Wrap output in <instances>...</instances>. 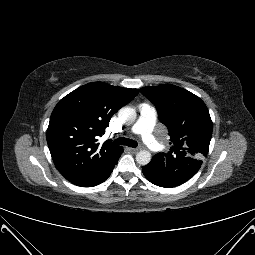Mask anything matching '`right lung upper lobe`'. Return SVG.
<instances>
[{
  "label": "right lung upper lobe",
  "mask_w": 255,
  "mask_h": 255,
  "mask_svg": "<svg viewBox=\"0 0 255 255\" xmlns=\"http://www.w3.org/2000/svg\"><path fill=\"white\" fill-rule=\"evenodd\" d=\"M138 94L137 89L92 82L62 98L47 129V143L58 171L71 183H88L119 158L122 148L97 143L111 116Z\"/></svg>",
  "instance_id": "cb5924a9"
}]
</instances>
